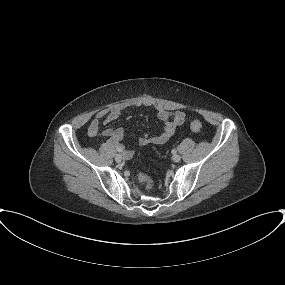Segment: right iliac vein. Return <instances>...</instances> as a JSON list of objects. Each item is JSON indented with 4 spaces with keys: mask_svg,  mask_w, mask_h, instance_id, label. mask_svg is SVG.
Wrapping results in <instances>:
<instances>
[{
    "mask_svg": "<svg viewBox=\"0 0 285 285\" xmlns=\"http://www.w3.org/2000/svg\"><path fill=\"white\" fill-rule=\"evenodd\" d=\"M128 158H129V156L126 154V152H123L122 155L117 154L115 156L116 162H121L123 159H128Z\"/></svg>",
    "mask_w": 285,
    "mask_h": 285,
    "instance_id": "right-iliac-vein-1",
    "label": "right iliac vein"
}]
</instances>
